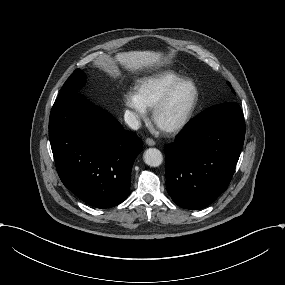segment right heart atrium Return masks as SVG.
<instances>
[{"mask_svg": "<svg viewBox=\"0 0 285 285\" xmlns=\"http://www.w3.org/2000/svg\"><path fill=\"white\" fill-rule=\"evenodd\" d=\"M123 104L132 112L135 121L141 122L148 117L149 110L137 95L136 90L130 89L125 93Z\"/></svg>", "mask_w": 285, "mask_h": 285, "instance_id": "obj_1", "label": "right heart atrium"}]
</instances>
